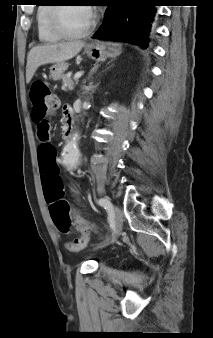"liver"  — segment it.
Returning a JSON list of instances; mask_svg holds the SVG:
<instances>
[{
	"label": "liver",
	"mask_w": 213,
	"mask_h": 338,
	"mask_svg": "<svg viewBox=\"0 0 213 338\" xmlns=\"http://www.w3.org/2000/svg\"><path fill=\"white\" fill-rule=\"evenodd\" d=\"M85 43L72 41L59 44H46L33 47L27 57L26 82L29 83L36 70L44 64L60 63L76 56Z\"/></svg>",
	"instance_id": "6515ba94"
}]
</instances>
